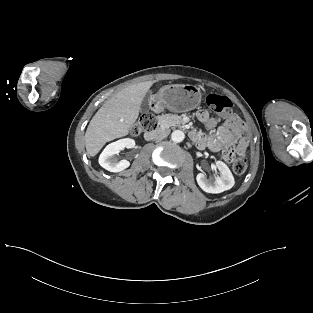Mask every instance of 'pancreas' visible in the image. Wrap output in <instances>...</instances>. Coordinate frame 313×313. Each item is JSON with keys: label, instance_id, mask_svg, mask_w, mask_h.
Instances as JSON below:
<instances>
[{"label": "pancreas", "instance_id": "pancreas-1", "mask_svg": "<svg viewBox=\"0 0 313 313\" xmlns=\"http://www.w3.org/2000/svg\"><path fill=\"white\" fill-rule=\"evenodd\" d=\"M158 124L163 128H169L173 126L181 127L184 125L182 118L178 115L173 114L158 116Z\"/></svg>", "mask_w": 313, "mask_h": 313}]
</instances>
